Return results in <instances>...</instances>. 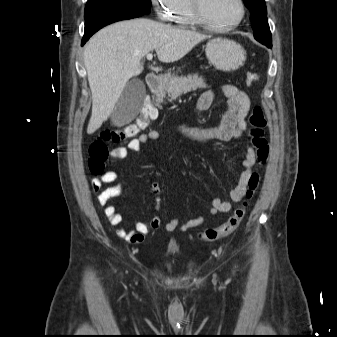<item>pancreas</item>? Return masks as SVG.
<instances>
[{
    "label": "pancreas",
    "mask_w": 337,
    "mask_h": 337,
    "mask_svg": "<svg viewBox=\"0 0 337 337\" xmlns=\"http://www.w3.org/2000/svg\"><path fill=\"white\" fill-rule=\"evenodd\" d=\"M205 87L204 79L199 77L198 74L188 75L187 77H173L163 87L155 91V101L162 103L166 94L169 95L170 100H173L182 94Z\"/></svg>",
    "instance_id": "1"
}]
</instances>
